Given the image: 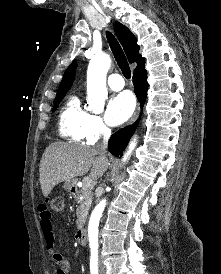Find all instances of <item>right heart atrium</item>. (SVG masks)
I'll list each match as a JSON object with an SVG mask.
<instances>
[{"instance_id": "right-heart-atrium-1", "label": "right heart atrium", "mask_w": 221, "mask_h": 274, "mask_svg": "<svg viewBox=\"0 0 221 274\" xmlns=\"http://www.w3.org/2000/svg\"><path fill=\"white\" fill-rule=\"evenodd\" d=\"M110 132L108 126L99 115L90 114L85 126V139L89 143H95L104 138Z\"/></svg>"}]
</instances>
